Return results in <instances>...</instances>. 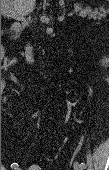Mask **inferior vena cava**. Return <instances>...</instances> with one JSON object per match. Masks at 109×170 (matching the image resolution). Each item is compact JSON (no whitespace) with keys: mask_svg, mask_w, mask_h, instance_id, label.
<instances>
[{"mask_svg":"<svg viewBox=\"0 0 109 170\" xmlns=\"http://www.w3.org/2000/svg\"><path fill=\"white\" fill-rule=\"evenodd\" d=\"M25 56H26V60H27L29 63L34 62L32 47H30V45H27V46L25 47Z\"/></svg>","mask_w":109,"mask_h":170,"instance_id":"obj_1","label":"inferior vena cava"}]
</instances>
